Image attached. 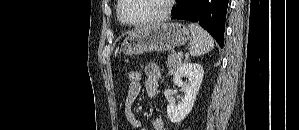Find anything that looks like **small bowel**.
I'll return each mask as SVG.
<instances>
[{
    "label": "small bowel",
    "instance_id": "small-bowel-1",
    "mask_svg": "<svg viewBox=\"0 0 299 130\" xmlns=\"http://www.w3.org/2000/svg\"><path fill=\"white\" fill-rule=\"evenodd\" d=\"M145 89L148 95H154L158 88V78L160 77V69L155 63H148L145 66ZM142 90V84L129 86L124 102V114L128 123L134 128H140L141 122L133 111V106ZM152 130H165L164 122L161 118H155L152 121Z\"/></svg>",
    "mask_w": 299,
    "mask_h": 130
}]
</instances>
